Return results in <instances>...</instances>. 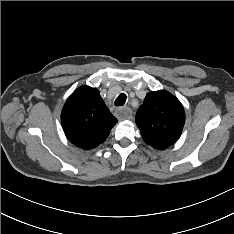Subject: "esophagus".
Segmentation results:
<instances>
[{
    "label": "esophagus",
    "instance_id": "34e87169",
    "mask_svg": "<svg viewBox=\"0 0 234 234\" xmlns=\"http://www.w3.org/2000/svg\"><path fill=\"white\" fill-rule=\"evenodd\" d=\"M117 113L119 118L121 119H131L132 118V110L128 107L117 109Z\"/></svg>",
    "mask_w": 234,
    "mask_h": 234
}]
</instances>
